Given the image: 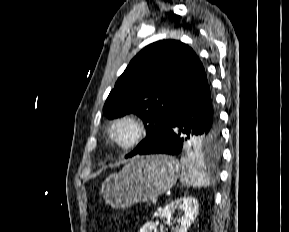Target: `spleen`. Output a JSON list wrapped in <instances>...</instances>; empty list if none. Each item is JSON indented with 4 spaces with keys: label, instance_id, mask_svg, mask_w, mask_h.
I'll return each mask as SVG.
<instances>
[{
    "label": "spleen",
    "instance_id": "spleen-1",
    "mask_svg": "<svg viewBox=\"0 0 289 232\" xmlns=\"http://www.w3.org/2000/svg\"><path fill=\"white\" fill-rule=\"evenodd\" d=\"M180 181L186 187H207L210 181L200 164L188 157L181 158Z\"/></svg>",
    "mask_w": 289,
    "mask_h": 232
}]
</instances>
